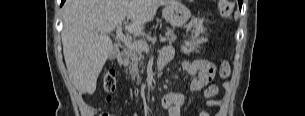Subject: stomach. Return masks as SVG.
<instances>
[{
  "label": "stomach",
  "instance_id": "obj_1",
  "mask_svg": "<svg viewBox=\"0 0 305 116\" xmlns=\"http://www.w3.org/2000/svg\"><path fill=\"white\" fill-rule=\"evenodd\" d=\"M162 15L173 27H182L191 17L190 10L180 1L174 0L162 10Z\"/></svg>",
  "mask_w": 305,
  "mask_h": 116
}]
</instances>
